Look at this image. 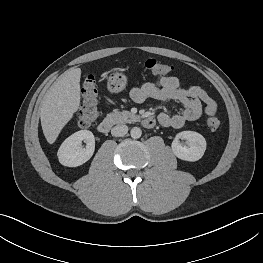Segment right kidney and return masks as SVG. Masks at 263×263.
I'll return each instance as SVG.
<instances>
[{
  "mask_svg": "<svg viewBox=\"0 0 263 263\" xmlns=\"http://www.w3.org/2000/svg\"><path fill=\"white\" fill-rule=\"evenodd\" d=\"M82 141L86 148L81 147ZM95 138L91 131L80 130L69 136L60 146L57 156L59 162L67 167H77L87 162L93 155Z\"/></svg>",
  "mask_w": 263,
  "mask_h": 263,
  "instance_id": "ca27d5eb",
  "label": "right kidney"
}]
</instances>
